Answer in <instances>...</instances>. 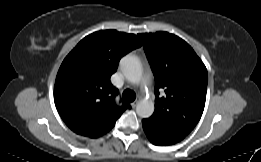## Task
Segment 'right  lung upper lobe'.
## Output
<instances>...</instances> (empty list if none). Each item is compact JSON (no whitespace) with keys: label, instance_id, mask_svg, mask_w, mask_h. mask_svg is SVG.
<instances>
[{"label":"right lung upper lobe","instance_id":"right-lung-upper-lobe-1","mask_svg":"<svg viewBox=\"0 0 261 162\" xmlns=\"http://www.w3.org/2000/svg\"><path fill=\"white\" fill-rule=\"evenodd\" d=\"M140 46L134 34L105 30L86 36L66 56L57 73L54 100L73 132L100 137L130 108L127 103H115L118 90L110 77L121 57Z\"/></svg>","mask_w":261,"mask_h":162}]
</instances>
